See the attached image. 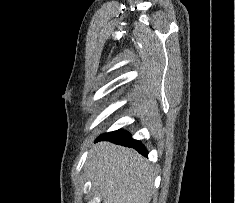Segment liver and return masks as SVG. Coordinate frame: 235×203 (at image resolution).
Instances as JSON below:
<instances>
[{
  "label": "liver",
  "mask_w": 235,
  "mask_h": 203,
  "mask_svg": "<svg viewBox=\"0 0 235 203\" xmlns=\"http://www.w3.org/2000/svg\"><path fill=\"white\" fill-rule=\"evenodd\" d=\"M85 172L103 203H150L151 167L131 148L100 142L93 146Z\"/></svg>",
  "instance_id": "1"
}]
</instances>
